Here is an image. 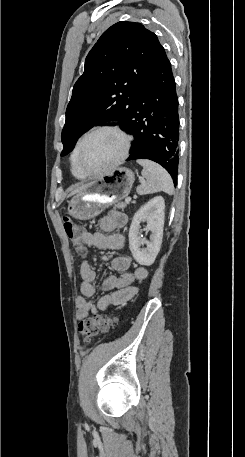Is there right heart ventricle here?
<instances>
[{
  "instance_id": "e07e8e85",
  "label": "right heart ventricle",
  "mask_w": 245,
  "mask_h": 457,
  "mask_svg": "<svg viewBox=\"0 0 245 457\" xmlns=\"http://www.w3.org/2000/svg\"><path fill=\"white\" fill-rule=\"evenodd\" d=\"M83 139L80 138V140L78 141L77 143V146L71 156V171H72V174L77 178V179H85L86 178V175L80 170V168L78 167L77 165V161H76V152H77V149L79 147V144L81 143V140Z\"/></svg>"
}]
</instances>
